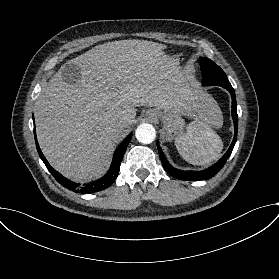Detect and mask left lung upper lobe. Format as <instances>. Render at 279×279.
<instances>
[{"mask_svg": "<svg viewBox=\"0 0 279 279\" xmlns=\"http://www.w3.org/2000/svg\"><path fill=\"white\" fill-rule=\"evenodd\" d=\"M199 64L202 72L203 86L219 85L224 88L231 87L225 72L212 60L202 57L199 59Z\"/></svg>", "mask_w": 279, "mask_h": 279, "instance_id": "left-lung-upper-lobe-1", "label": "left lung upper lobe"}]
</instances>
